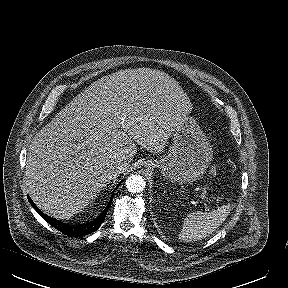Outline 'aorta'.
Wrapping results in <instances>:
<instances>
[{"label": "aorta", "mask_w": 288, "mask_h": 288, "mask_svg": "<svg viewBox=\"0 0 288 288\" xmlns=\"http://www.w3.org/2000/svg\"><path fill=\"white\" fill-rule=\"evenodd\" d=\"M146 183L142 176L131 175L126 180V188L129 192L140 193L144 190Z\"/></svg>", "instance_id": "762f6f07"}]
</instances>
